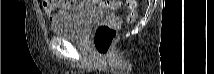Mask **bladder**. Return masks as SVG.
Here are the masks:
<instances>
[{
	"mask_svg": "<svg viewBox=\"0 0 214 74\" xmlns=\"http://www.w3.org/2000/svg\"><path fill=\"white\" fill-rule=\"evenodd\" d=\"M105 16L92 1H75L55 16L52 32L69 40L83 41L88 30Z\"/></svg>",
	"mask_w": 214,
	"mask_h": 74,
	"instance_id": "31cf9c89",
	"label": "bladder"
}]
</instances>
